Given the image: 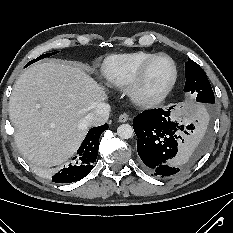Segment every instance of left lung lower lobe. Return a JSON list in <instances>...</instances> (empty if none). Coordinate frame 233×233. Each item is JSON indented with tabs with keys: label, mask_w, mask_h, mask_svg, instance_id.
Masks as SVG:
<instances>
[{
	"label": "left lung lower lobe",
	"mask_w": 233,
	"mask_h": 233,
	"mask_svg": "<svg viewBox=\"0 0 233 233\" xmlns=\"http://www.w3.org/2000/svg\"><path fill=\"white\" fill-rule=\"evenodd\" d=\"M170 109L146 110L133 119L138 154L152 174L162 178L179 174L203 151L199 145L187 147L184 144V135L178 132L183 127L170 120ZM192 129V125L187 126L188 131ZM188 131L184 133L190 135Z\"/></svg>",
	"instance_id": "1"
}]
</instances>
